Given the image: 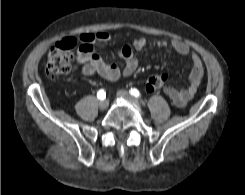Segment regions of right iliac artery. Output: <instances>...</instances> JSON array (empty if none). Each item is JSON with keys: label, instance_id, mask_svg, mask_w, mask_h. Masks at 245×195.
I'll use <instances>...</instances> for the list:
<instances>
[{"label": "right iliac artery", "instance_id": "right-iliac-artery-1", "mask_svg": "<svg viewBox=\"0 0 245 195\" xmlns=\"http://www.w3.org/2000/svg\"><path fill=\"white\" fill-rule=\"evenodd\" d=\"M106 97V93L103 89L99 90L97 93V98L103 100Z\"/></svg>", "mask_w": 245, "mask_h": 195}]
</instances>
